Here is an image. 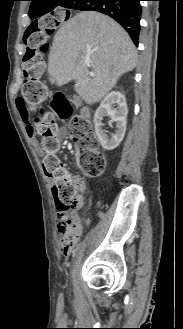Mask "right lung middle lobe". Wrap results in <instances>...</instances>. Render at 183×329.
Returning a JSON list of instances; mask_svg holds the SVG:
<instances>
[{
    "mask_svg": "<svg viewBox=\"0 0 183 329\" xmlns=\"http://www.w3.org/2000/svg\"><path fill=\"white\" fill-rule=\"evenodd\" d=\"M53 13H54V10H53ZM26 37L28 36V34H27V32H26V35H25Z\"/></svg>",
    "mask_w": 183,
    "mask_h": 329,
    "instance_id": "obj_1",
    "label": "right lung middle lobe"
}]
</instances>
